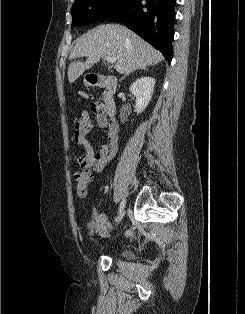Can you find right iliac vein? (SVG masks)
I'll list each match as a JSON object with an SVG mask.
<instances>
[{
    "label": "right iliac vein",
    "instance_id": "1",
    "mask_svg": "<svg viewBox=\"0 0 245 314\" xmlns=\"http://www.w3.org/2000/svg\"><path fill=\"white\" fill-rule=\"evenodd\" d=\"M123 215H124V208L121 211L118 212L117 219H116L117 224L120 223V221L123 218Z\"/></svg>",
    "mask_w": 245,
    "mask_h": 314
}]
</instances>
